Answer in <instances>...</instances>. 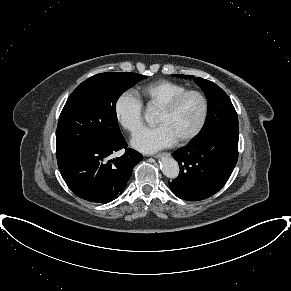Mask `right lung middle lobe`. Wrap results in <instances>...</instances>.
Returning a JSON list of instances; mask_svg holds the SVG:
<instances>
[{
	"label": "right lung middle lobe",
	"mask_w": 291,
	"mask_h": 291,
	"mask_svg": "<svg viewBox=\"0 0 291 291\" xmlns=\"http://www.w3.org/2000/svg\"><path fill=\"white\" fill-rule=\"evenodd\" d=\"M144 75L107 72L82 82L69 96L56 132L57 160L90 145L106 144L122 136L116 102Z\"/></svg>",
	"instance_id": "1"
}]
</instances>
